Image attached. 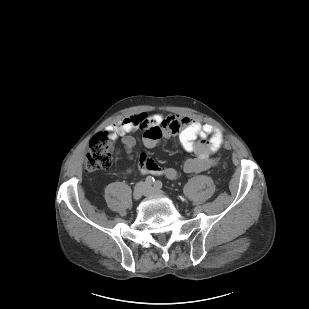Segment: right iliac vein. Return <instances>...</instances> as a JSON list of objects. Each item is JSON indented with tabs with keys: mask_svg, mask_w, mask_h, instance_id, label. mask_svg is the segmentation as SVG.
Listing matches in <instances>:
<instances>
[{
	"mask_svg": "<svg viewBox=\"0 0 309 309\" xmlns=\"http://www.w3.org/2000/svg\"><path fill=\"white\" fill-rule=\"evenodd\" d=\"M148 188L144 183H139L135 186L133 192L134 200H139L143 195H147Z\"/></svg>",
	"mask_w": 309,
	"mask_h": 309,
	"instance_id": "right-iliac-vein-1",
	"label": "right iliac vein"
}]
</instances>
